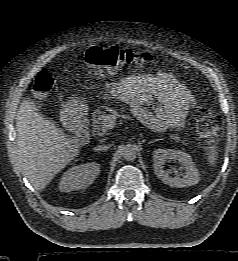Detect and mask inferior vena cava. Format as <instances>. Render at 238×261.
Wrapping results in <instances>:
<instances>
[{
  "mask_svg": "<svg viewBox=\"0 0 238 261\" xmlns=\"http://www.w3.org/2000/svg\"><path fill=\"white\" fill-rule=\"evenodd\" d=\"M109 148V146H105V145H100L94 148L95 151H103V150H107Z\"/></svg>",
  "mask_w": 238,
  "mask_h": 261,
  "instance_id": "obj_1",
  "label": "inferior vena cava"
}]
</instances>
